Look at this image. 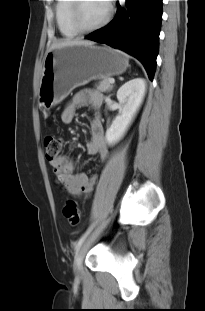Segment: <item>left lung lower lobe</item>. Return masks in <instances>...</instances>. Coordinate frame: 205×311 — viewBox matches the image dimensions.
I'll list each match as a JSON object with an SVG mask.
<instances>
[{
  "label": "left lung lower lobe",
  "mask_w": 205,
  "mask_h": 311,
  "mask_svg": "<svg viewBox=\"0 0 205 311\" xmlns=\"http://www.w3.org/2000/svg\"><path fill=\"white\" fill-rule=\"evenodd\" d=\"M162 0H126L115 18L85 38L105 43L133 55L144 65L150 80L156 68Z\"/></svg>",
  "instance_id": "0a47b994"
}]
</instances>
